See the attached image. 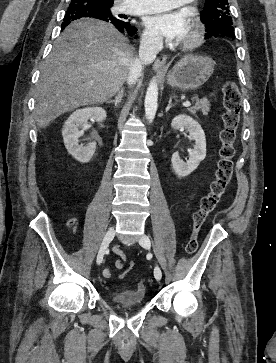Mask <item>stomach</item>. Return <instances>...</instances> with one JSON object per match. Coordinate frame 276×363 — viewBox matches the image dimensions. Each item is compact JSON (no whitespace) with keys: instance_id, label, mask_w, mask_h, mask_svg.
Segmentation results:
<instances>
[{"instance_id":"obj_1","label":"stomach","mask_w":276,"mask_h":363,"mask_svg":"<svg viewBox=\"0 0 276 363\" xmlns=\"http://www.w3.org/2000/svg\"><path fill=\"white\" fill-rule=\"evenodd\" d=\"M214 71V61L201 55L183 56L167 74V83L183 91L197 90Z\"/></svg>"}]
</instances>
